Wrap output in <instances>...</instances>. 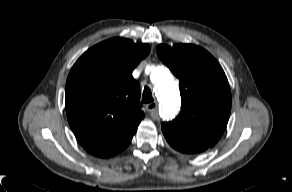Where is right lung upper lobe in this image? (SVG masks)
I'll use <instances>...</instances> for the list:
<instances>
[{
    "label": "right lung upper lobe",
    "mask_w": 292,
    "mask_h": 192,
    "mask_svg": "<svg viewBox=\"0 0 292 192\" xmlns=\"http://www.w3.org/2000/svg\"><path fill=\"white\" fill-rule=\"evenodd\" d=\"M149 52L148 44L112 38L87 50L73 65L65 107L83 147L113 146L133 137L144 113L132 71Z\"/></svg>",
    "instance_id": "cb5924a9"
}]
</instances>
